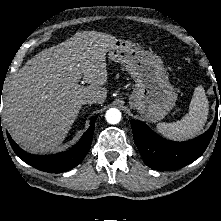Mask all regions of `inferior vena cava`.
Returning a JSON list of instances; mask_svg holds the SVG:
<instances>
[{
	"mask_svg": "<svg viewBox=\"0 0 221 221\" xmlns=\"http://www.w3.org/2000/svg\"><path fill=\"white\" fill-rule=\"evenodd\" d=\"M91 103H96L95 99H85L82 101V104H91Z\"/></svg>",
	"mask_w": 221,
	"mask_h": 221,
	"instance_id": "obj_1",
	"label": "inferior vena cava"
}]
</instances>
